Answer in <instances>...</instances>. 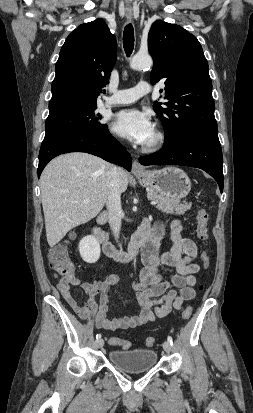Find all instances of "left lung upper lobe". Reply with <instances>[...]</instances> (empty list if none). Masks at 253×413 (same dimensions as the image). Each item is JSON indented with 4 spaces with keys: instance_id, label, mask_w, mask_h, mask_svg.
I'll return each instance as SVG.
<instances>
[{
    "instance_id": "1",
    "label": "left lung upper lobe",
    "mask_w": 253,
    "mask_h": 413,
    "mask_svg": "<svg viewBox=\"0 0 253 413\" xmlns=\"http://www.w3.org/2000/svg\"><path fill=\"white\" fill-rule=\"evenodd\" d=\"M148 50L154 60L151 84L165 80L166 107L154 103L166 134L163 146L193 135L218 138L212 82L197 38L179 25L157 20L149 31Z\"/></svg>"
}]
</instances>
